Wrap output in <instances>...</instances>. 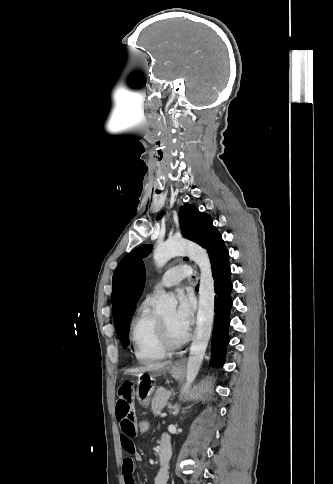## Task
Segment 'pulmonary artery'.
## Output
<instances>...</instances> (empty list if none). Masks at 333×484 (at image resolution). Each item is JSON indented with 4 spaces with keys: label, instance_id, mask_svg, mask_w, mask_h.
<instances>
[{
    "label": "pulmonary artery",
    "instance_id": "1",
    "mask_svg": "<svg viewBox=\"0 0 333 484\" xmlns=\"http://www.w3.org/2000/svg\"><path fill=\"white\" fill-rule=\"evenodd\" d=\"M188 265L180 264L168 269L158 283V287H172L191 274Z\"/></svg>",
    "mask_w": 333,
    "mask_h": 484
}]
</instances>
